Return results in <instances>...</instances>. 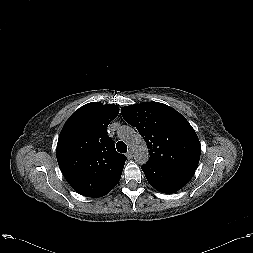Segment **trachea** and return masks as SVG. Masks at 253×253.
Returning <instances> with one entry per match:
<instances>
[{
    "instance_id": "obj_1",
    "label": "trachea",
    "mask_w": 253,
    "mask_h": 253,
    "mask_svg": "<svg viewBox=\"0 0 253 253\" xmlns=\"http://www.w3.org/2000/svg\"><path fill=\"white\" fill-rule=\"evenodd\" d=\"M117 151L120 153L127 152V145L123 141H118L116 144Z\"/></svg>"
}]
</instances>
